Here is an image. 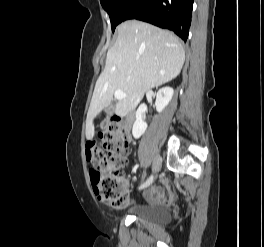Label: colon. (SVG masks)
Wrapping results in <instances>:
<instances>
[{
	"label": "colon",
	"mask_w": 264,
	"mask_h": 247,
	"mask_svg": "<svg viewBox=\"0 0 264 247\" xmlns=\"http://www.w3.org/2000/svg\"><path fill=\"white\" fill-rule=\"evenodd\" d=\"M98 144L91 143L87 158L92 163L90 179L95 194L108 206L122 209L128 205L127 179L123 171L128 134L117 120L97 133Z\"/></svg>",
	"instance_id": "obj_1"
}]
</instances>
